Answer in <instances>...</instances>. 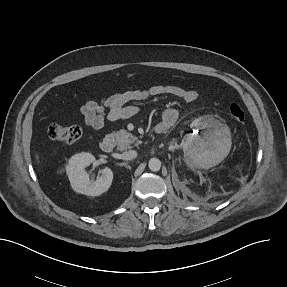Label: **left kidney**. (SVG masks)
Listing matches in <instances>:
<instances>
[{
  "label": "left kidney",
  "mask_w": 287,
  "mask_h": 287,
  "mask_svg": "<svg viewBox=\"0 0 287 287\" xmlns=\"http://www.w3.org/2000/svg\"><path fill=\"white\" fill-rule=\"evenodd\" d=\"M198 125L197 120L192 123L193 127ZM202 128H208L203 137L189 134L184 138V153L189 154L194 165L209 168L227 156L232 144L231 135L227 128L218 125H203Z\"/></svg>",
  "instance_id": "5707ae66"
}]
</instances>
